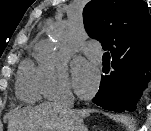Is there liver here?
Wrapping results in <instances>:
<instances>
[{
	"label": "liver",
	"instance_id": "6515ba94",
	"mask_svg": "<svg viewBox=\"0 0 151 131\" xmlns=\"http://www.w3.org/2000/svg\"><path fill=\"white\" fill-rule=\"evenodd\" d=\"M92 110L72 108L63 110L54 102L16 112L10 119L8 131H86L83 118Z\"/></svg>",
	"mask_w": 151,
	"mask_h": 131
}]
</instances>
